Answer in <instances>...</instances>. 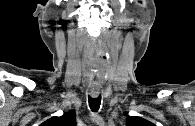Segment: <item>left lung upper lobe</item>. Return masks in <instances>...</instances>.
Segmentation results:
<instances>
[{"label": "left lung upper lobe", "instance_id": "obj_1", "mask_svg": "<svg viewBox=\"0 0 195 126\" xmlns=\"http://www.w3.org/2000/svg\"><path fill=\"white\" fill-rule=\"evenodd\" d=\"M127 126H154L153 123L136 116L127 117Z\"/></svg>", "mask_w": 195, "mask_h": 126}]
</instances>
